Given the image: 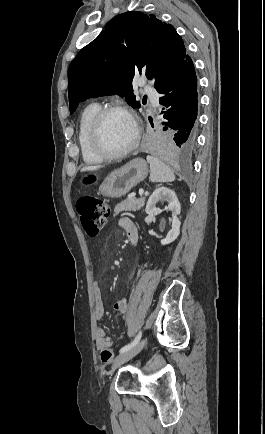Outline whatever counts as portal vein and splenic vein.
<instances>
[{
  "mask_svg": "<svg viewBox=\"0 0 265 434\" xmlns=\"http://www.w3.org/2000/svg\"><path fill=\"white\" fill-rule=\"evenodd\" d=\"M143 192H144V190H139L140 196H142Z\"/></svg>",
  "mask_w": 265,
  "mask_h": 434,
  "instance_id": "1",
  "label": "portal vein and splenic vein"
}]
</instances>
